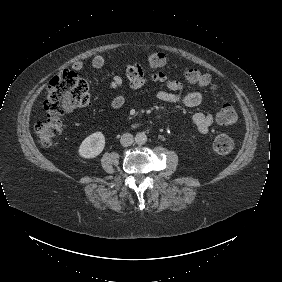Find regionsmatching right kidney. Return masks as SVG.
Listing matches in <instances>:
<instances>
[{
  "label": "right kidney",
  "mask_w": 282,
  "mask_h": 282,
  "mask_svg": "<svg viewBox=\"0 0 282 282\" xmlns=\"http://www.w3.org/2000/svg\"><path fill=\"white\" fill-rule=\"evenodd\" d=\"M106 145L103 132H94L87 136L77 149L78 155L83 159H94L104 150Z\"/></svg>",
  "instance_id": "ca27d5eb"
}]
</instances>
